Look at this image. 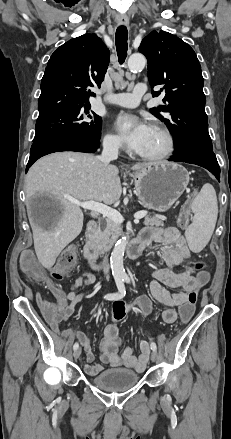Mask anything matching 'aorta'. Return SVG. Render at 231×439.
<instances>
[{"label": "aorta", "mask_w": 231, "mask_h": 439, "mask_svg": "<svg viewBox=\"0 0 231 439\" xmlns=\"http://www.w3.org/2000/svg\"><path fill=\"white\" fill-rule=\"evenodd\" d=\"M146 58L142 54H132L128 59V67L132 71H138L145 67ZM127 239L122 238L114 246L111 253L110 264L114 278H123L127 274L123 265L124 252L127 246Z\"/></svg>", "instance_id": "1"}]
</instances>
